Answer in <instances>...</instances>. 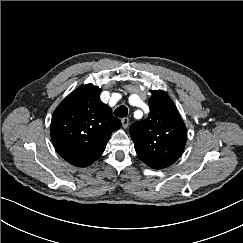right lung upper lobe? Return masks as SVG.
I'll return each mask as SVG.
<instances>
[{
    "label": "right lung upper lobe",
    "mask_w": 243,
    "mask_h": 243,
    "mask_svg": "<svg viewBox=\"0 0 243 243\" xmlns=\"http://www.w3.org/2000/svg\"><path fill=\"white\" fill-rule=\"evenodd\" d=\"M92 84L75 89L55 109L51 139L58 154L72 165L86 167L101 156L121 121L101 102Z\"/></svg>",
    "instance_id": "1"
}]
</instances>
